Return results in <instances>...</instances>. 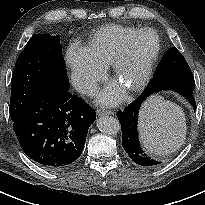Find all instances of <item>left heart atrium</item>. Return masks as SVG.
Wrapping results in <instances>:
<instances>
[{
	"mask_svg": "<svg viewBox=\"0 0 205 205\" xmlns=\"http://www.w3.org/2000/svg\"><path fill=\"white\" fill-rule=\"evenodd\" d=\"M122 97L121 89L116 85L108 87L100 96V103L113 105Z\"/></svg>",
	"mask_w": 205,
	"mask_h": 205,
	"instance_id": "39dd6f15",
	"label": "left heart atrium"
}]
</instances>
